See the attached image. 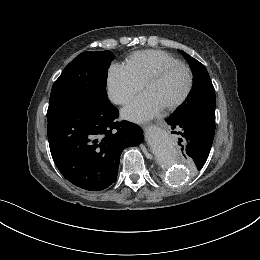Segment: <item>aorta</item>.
<instances>
[{
  "label": "aorta",
  "instance_id": "aorta-1",
  "mask_svg": "<svg viewBox=\"0 0 260 260\" xmlns=\"http://www.w3.org/2000/svg\"><path fill=\"white\" fill-rule=\"evenodd\" d=\"M146 142L158 162L165 168L169 182L181 183L189 177L187 162L168 134L149 131L146 134Z\"/></svg>",
  "mask_w": 260,
  "mask_h": 260
}]
</instances>
